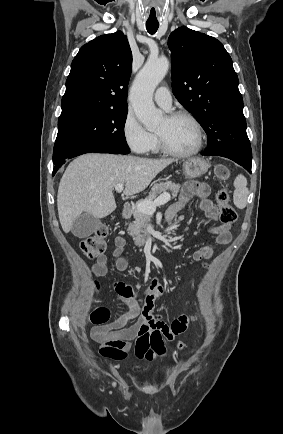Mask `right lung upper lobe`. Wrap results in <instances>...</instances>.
<instances>
[{
	"label": "right lung upper lobe",
	"mask_w": 283,
	"mask_h": 434,
	"mask_svg": "<svg viewBox=\"0 0 283 434\" xmlns=\"http://www.w3.org/2000/svg\"><path fill=\"white\" fill-rule=\"evenodd\" d=\"M132 53L121 31L83 45L71 64L60 116L127 108Z\"/></svg>",
	"instance_id": "right-lung-upper-lobe-1"
}]
</instances>
